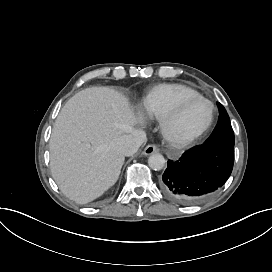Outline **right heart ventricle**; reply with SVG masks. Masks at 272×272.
<instances>
[{
  "instance_id": "e07e8e85",
  "label": "right heart ventricle",
  "mask_w": 272,
  "mask_h": 272,
  "mask_svg": "<svg viewBox=\"0 0 272 272\" xmlns=\"http://www.w3.org/2000/svg\"><path fill=\"white\" fill-rule=\"evenodd\" d=\"M196 94V90L182 85H159L149 93L143 109L150 116H165L173 112L183 98Z\"/></svg>"
}]
</instances>
